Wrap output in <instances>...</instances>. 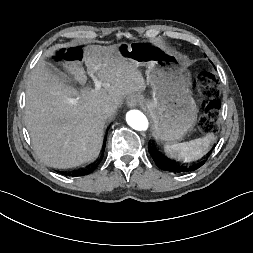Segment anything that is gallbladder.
<instances>
[{
  "instance_id": "1",
  "label": "gallbladder",
  "mask_w": 253,
  "mask_h": 253,
  "mask_svg": "<svg viewBox=\"0 0 253 253\" xmlns=\"http://www.w3.org/2000/svg\"><path fill=\"white\" fill-rule=\"evenodd\" d=\"M45 67L46 69L53 75H55L56 77H58L59 79H61L64 82H67L69 80V77L61 72L60 70H58L54 65H52L51 63H46L45 62Z\"/></svg>"
}]
</instances>
